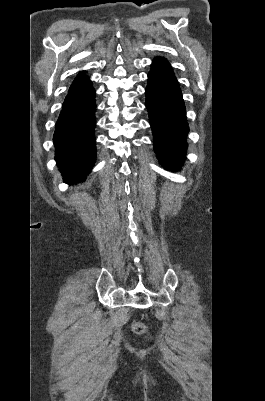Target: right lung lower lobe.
I'll return each mask as SVG.
<instances>
[{"label": "right lung lower lobe", "instance_id": "right-lung-lower-lobe-1", "mask_svg": "<svg viewBox=\"0 0 265 401\" xmlns=\"http://www.w3.org/2000/svg\"><path fill=\"white\" fill-rule=\"evenodd\" d=\"M94 97L91 81L71 86L56 122L55 160L68 184L85 180L95 161Z\"/></svg>", "mask_w": 265, "mask_h": 401}]
</instances>
